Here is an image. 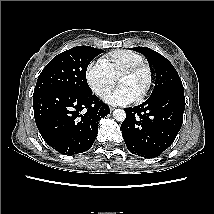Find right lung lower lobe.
Instances as JSON below:
<instances>
[{"label":"right lung lower lobe","instance_id":"98d812e1","mask_svg":"<svg viewBox=\"0 0 214 214\" xmlns=\"http://www.w3.org/2000/svg\"><path fill=\"white\" fill-rule=\"evenodd\" d=\"M35 122L44 141L64 155L90 149L109 107L92 93L50 89L33 94Z\"/></svg>","mask_w":214,"mask_h":214}]
</instances>
